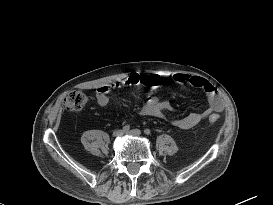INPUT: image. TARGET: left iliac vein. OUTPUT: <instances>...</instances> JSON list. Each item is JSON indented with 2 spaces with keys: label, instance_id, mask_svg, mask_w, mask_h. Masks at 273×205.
Returning <instances> with one entry per match:
<instances>
[{
  "label": "left iliac vein",
  "instance_id": "4c4485c4",
  "mask_svg": "<svg viewBox=\"0 0 273 205\" xmlns=\"http://www.w3.org/2000/svg\"><path fill=\"white\" fill-rule=\"evenodd\" d=\"M128 134L130 135H134V136H140L141 135V131L139 129H133L130 131H127Z\"/></svg>",
  "mask_w": 273,
  "mask_h": 205
}]
</instances>
